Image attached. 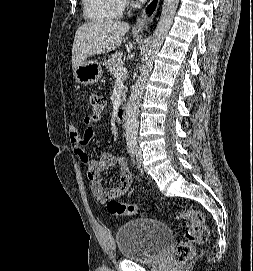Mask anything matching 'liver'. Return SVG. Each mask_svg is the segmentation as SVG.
<instances>
[{
    "mask_svg": "<svg viewBox=\"0 0 253 271\" xmlns=\"http://www.w3.org/2000/svg\"><path fill=\"white\" fill-rule=\"evenodd\" d=\"M130 26L123 21H97L83 24L75 33L72 69L87 57L109 53L118 48Z\"/></svg>",
    "mask_w": 253,
    "mask_h": 271,
    "instance_id": "1",
    "label": "liver"
}]
</instances>
